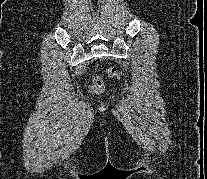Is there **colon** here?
Wrapping results in <instances>:
<instances>
[{
    "instance_id": "5ec220e1",
    "label": "colon",
    "mask_w": 207,
    "mask_h": 179,
    "mask_svg": "<svg viewBox=\"0 0 207 179\" xmlns=\"http://www.w3.org/2000/svg\"><path fill=\"white\" fill-rule=\"evenodd\" d=\"M107 73L109 76L114 77V78H119L121 74V70L116 68V67H111L107 70ZM105 86L103 81L99 77H94L92 79V83L89 86V92L96 94L104 91Z\"/></svg>"
}]
</instances>
